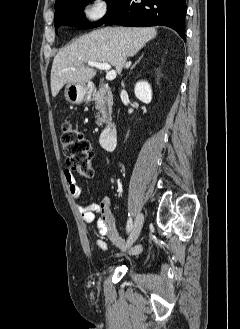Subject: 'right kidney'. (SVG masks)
<instances>
[{"label": "right kidney", "instance_id": "1", "mask_svg": "<svg viewBox=\"0 0 240 329\" xmlns=\"http://www.w3.org/2000/svg\"><path fill=\"white\" fill-rule=\"evenodd\" d=\"M135 96L143 103H150L152 99V90L148 82L139 81L134 88Z\"/></svg>", "mask_w": 240, "mask_h": 329}]
</instances>
